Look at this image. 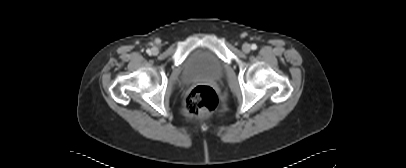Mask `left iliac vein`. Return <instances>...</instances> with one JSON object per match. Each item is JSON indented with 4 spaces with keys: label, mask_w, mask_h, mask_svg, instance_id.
<instances>
[{
    "label": "left iliac vein",
    "mask_w": 406,
    "mask_h": 168,
    "mask_svg": "<svg viewBox=\"0 0 406 168\" xmlns=\"http://www.w3.org/2000/svg\"><path fill=\"white\" fill-rule=\"evenodd\" d=\"M242 50L244 53H249L251 51V46L248 43H244L242 46Z\"/></svg>",
    "instance_id": "1"
}]
</instances>
